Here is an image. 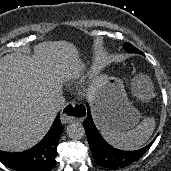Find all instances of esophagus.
<instances>
[{"label": "esophagus", "instance_id": "34e87169", "mask_svg": "<svg viewBox=\"0 0 171 171\" xmlns=\"http://www.w3.org/2000/svg\"><path fill=\"white\" fill-rule=\"evenodd\" d=\"M77 110L75 108V103L74 102H69L66 104L64 112L61 114V121L63 123H70L74 120H77L78 118L76 117Z\"/></svg>", "mask_w": 171, "mask_h": 171}]
</instances>
